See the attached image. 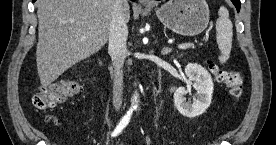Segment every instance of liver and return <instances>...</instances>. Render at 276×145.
Returning a JSON list of instances; mask_svg holds the SVG:
<instances>
[{"label":"liver","instance_id":"liver-1","mask_svg":"<svg viewBox=\"0 0 276 145\" xmlns=\"http://www.w3.org/2000/svg\"><path fill=\"white\" fill-rule=\"evenodd\" d=\"M36 5L37 70L42 86L47 87L106 44L114 0H38ZM125 14L128 22L129 7Z\"/></svg>","mask_w":276,"mask_h":145}]
</instances>
